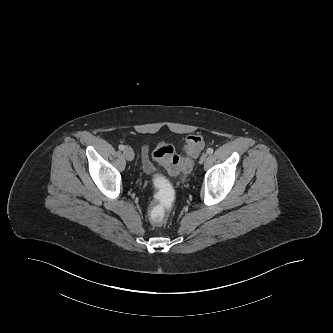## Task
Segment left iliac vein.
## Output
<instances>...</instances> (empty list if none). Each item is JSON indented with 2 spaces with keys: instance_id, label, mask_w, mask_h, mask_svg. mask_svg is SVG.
I'll return each instance as SVG.
<instances>
[{
  "instance_id": "left-iliac-vein-1",
  "label": "left iliac vein",
  "mask_w": 333,
  "mask_h": 333,
  "mask_svg": "<svg viewBox=\"0 0 333 333\" xmlns=\"http://www.w3.org/2000/svg\"><path fill=\"white\" fill-rule=\"evenodd\" d=\"M208 158V154L207 153H203L202 156L200 157L199 163L202 164L204 163Z\"/></svg>"
}]
</instances>
